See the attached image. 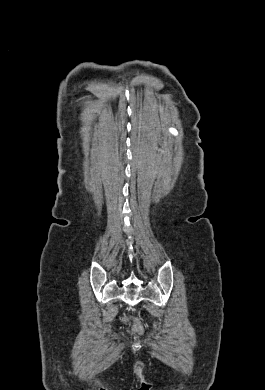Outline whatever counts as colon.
<instances>
[{
    "mask_svg": "<svg viewBox=\"0 0 265 390\" xmlns=\"http://www.w3.org/2000/svg\"><path fill=\"white\" fill-rule=\"evenodd\" d=\"M125 320L129 321V318H126ZM143 330L144 329H143V326L141 325V323L135 319L133 321V328H132L133 333L136 335H141L143 333Z\"/></svg>",
    "mask_w": 265,
    "mask_h": 390,
    "instance_id": "colon-1",
    "label": "colon"
}]
</instances>
